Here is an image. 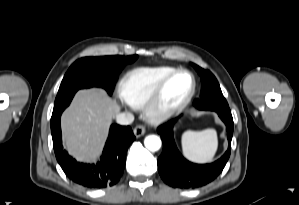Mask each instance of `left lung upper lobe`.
Returning <instances> with one entry per match:
<instances>
[{
  "instance_id": "5c2ea615",
  "label": "left lung upper lobe",
  "mask_w": 299,
  "mask_h": 205,
  "mask_svg": "<svg viewBox=\"0 0 299 205\" xmlns=\"http://www.w3.org/2000/svg\"><path fill=\"white\" fill-rule=\"evenodd\" d=\"M192 65L201 76L203 83L201 97L194 101V105L201 107L211 104L227 103L215 76L208 70H204L195 64Z\"/></svg>"
}]
</instances>
